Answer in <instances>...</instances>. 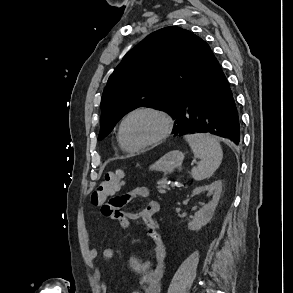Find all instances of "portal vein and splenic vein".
Returning <instances> with one entry per match:
<instances>
[{
  "mask_svg": "<svg viewBox=\"0 0 293 293\" xmlns=\"http://www.w3.org/2000/svg\"><path fill=\"white\" fill-rule=\"evenodd\" d=\"M178 185H179V183H178V182H176V183L172 184V186H178Z\"/></svg>",
  "mask_w": 293,
  "mask_h": 293,
  "instance_id": "1",
  "label": "portal vein and splenic vein"
}]
</instances>
